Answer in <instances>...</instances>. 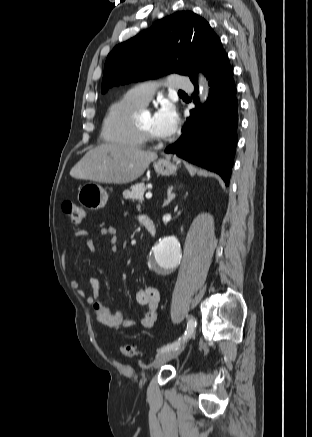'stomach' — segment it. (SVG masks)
<instances>
[{
  "instance_id": "obj_1",
  "label": "stomach",
  "mask_w": 312,
  "mask_h": 437,
  "mask_svg": "<svg viewBox=\"0 0 312 437\" xmlns=\"http://www.w3.org/2000/svg\"><path fill=\"white\" fill-rule=\"evenodd\" d=\"M153 167L158 175L170 176L175 174L178 164L170 156H166L154 162ZM77 198L82 206L96 211L105 207L108 193L98 183L88 182L80 187Z\"/></svg>"
}]
</instances>
